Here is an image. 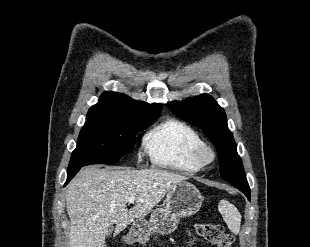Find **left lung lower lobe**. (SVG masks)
I'll return each mask as SVG.
<instances>
[{"label": "left lung lower lobe", "instance_id": "0a47b994", "mask_svg": "<svg viewBox=\"0 0 310 247\" xmlns=\"http://www.w3.org/2000/svg\"><path fill=\"white\" fill-rule=\"evenodd\" d=\"M236 188L243 192L248 200H250V187L246 179L238 182H231Z\"/></svg>", "mask_w": 310, "mask_h": 247}]
</instances>
